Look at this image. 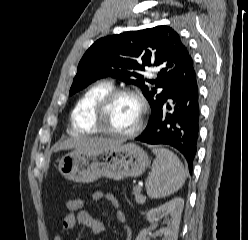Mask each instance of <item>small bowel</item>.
Returning a JSON list of instances; mask_svg holds the SVG:
<instances>
[{"instance_id":"small-bowel-1","label":"small bowel","mask_w":248,"mask_h":240,"mask_svg":"<svg viewBox=\"0 0 248 240\" xmlns=\"http://www.w3.org/2000/svg\"><path fill=\"white\" fill-rule=\"evenodd\" d=\"M92 199L94 201H100L104 199L107 203L116 209V218L123 227L125 240H132V232L129 226L126 224V216L124 212L119 209V203L115 195L110 192L95 191L92 194ZM77 223L86 226L93 234H100L104 230L101 220L85 210H81L73 214L68 213L62 222V228L68 231L73 229ZM54 240H62V238L60 236H55Z\"/></svg>"}]
</instances>
